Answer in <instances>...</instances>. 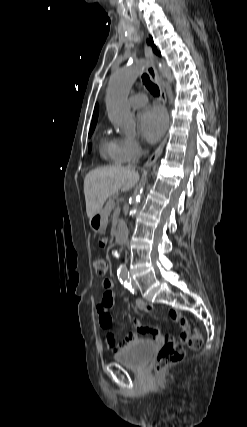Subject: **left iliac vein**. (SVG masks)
Instances as JSON below:
<instances>
[{
	"label": "left iliac vein",
	"mask_w": 247,
	"mask_h": 427,
	"mask_svg": "<svg viewBox=\"0 0 247 427\" xmlns=\"http://www.w3.org/2000/svg\"><path fill=\"white\" fill-rule=\"evenodd\" d=\"M131 283H132V285H133L134 288H137V284H136V282L133 279H131Z\"/></svg>",
	"instance_id": "4c4485c4"
}]
</instances>
